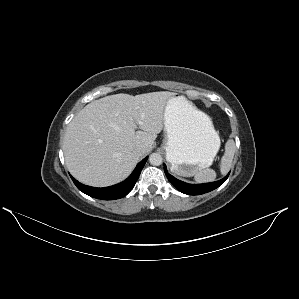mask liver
<instances>
[{"label": "liver", "instance_id": "obj_1", "mask_svg": "<svg viewBox=\"0 0 299 299\" xmlns=\"http://www.w3.org/2000/svg\"><path fill=\"white\" fill-rule=\"evenodd\" d=\"M175 93L115 94L87 104L69 123L63 142L65 164L80 182L94 187L126 179L151 151L164 128L167 100ZM140 129V130H137ZM145 152H135L137 145Z\"/></svg>", "mask_w": 299, "mask_h": 299}]
</instances>
